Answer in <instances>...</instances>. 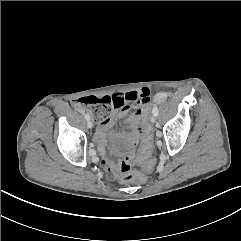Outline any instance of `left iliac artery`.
I'll list each match as a JSON object with an SVG mask.
<instances>
[{
	"instance_id": "44dca946",
	"label": "left iliac artery",
	"mask_w": 241,
	"mask_h": 241,
	"mask_svg": "<svg viewBox=\"0 0 241 241\" xmlns=\"http://www.w3.org/2000/svg\"><path fill=\"white\" fill-rule=\"evenodd\" d=\"M152 113H153V115H155V116L158 115V108H157V106H154V107H153Z\"/></svg>"
}]
</instances>
